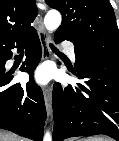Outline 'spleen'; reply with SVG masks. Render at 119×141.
Here are the masks:
<instances>
[{
	"label": "spleen",
	"mask_w": 119,
	"mask_h": 141,
	"mask_svg": "<svg viewBox=\"0 0 119 141\" xmlns=\"http://www.w3.org/2000/svg\"><path fill=\"white\" fill-rule=\"evenodd\" d=\"M80 141H107V140L102 137H88V138L82 139Z\"/></svg>",
	"instance_id": "obj_1"
}]
</instances>
